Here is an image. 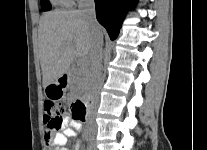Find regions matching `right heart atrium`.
<instances>
[{"label": "right heart atrium", "instance_id": "1", "mask_svg": "<svg viewBox=\"0 0 207 150\" xmlns=\"http://www.w3.org/2000/svg\"><path fill=\"white\" fill-rule=\"evenodd\" d=\"M68 1L71 3V2H73V1H75V0H68Z\"/></svg>", "mask_w": 207, "mask_h": 150}]
</instances>
